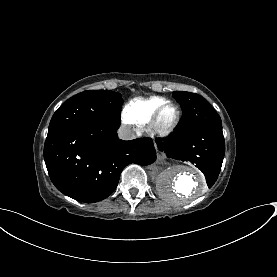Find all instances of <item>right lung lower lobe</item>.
<instances>
[{
  "label": "right lung lower lobe",
  "mask_w": 277,
  "mask_h": 277,
  "mask_svg": "<svg viewBox=\"0 0 277 277\" xmlns=\"http://www.w3.org/2000/svg\"><path fill=\"white\" fill-rule=\"evenodd\" d=\"M119 126L92 123L47 135L44 160L59 191L81 202H98L115 191L125 166L156 160L151 139L120 140Z\"/></svg>",
  "instance_id": "obj_1"
}]
</instances>
